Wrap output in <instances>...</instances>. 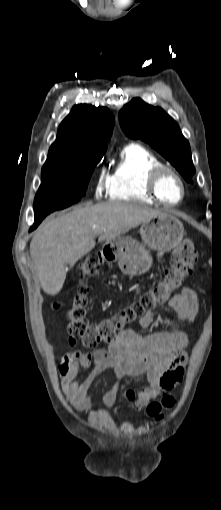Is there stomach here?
I'll return each mask as SVG.
<instances>
[{"label": "stomach", "mask_w": 221, "mask_h": 510, "mask_svg": "<svg viewBox=\"0 0 221 510\" xmlns=\"http://www.w3.org/2000/svg\"><path fill=\"white\" fill-rule=\"evenodd\" d=\"M140 235L143 244L131 237L119 236L108 239L103 246L106 258L118 261L125 275L136 276L147 272L152 265L150 250L168 252L174 249L183 239L184 227L172 214L160 213L142 223Z\"/></svg>", "instance_id": "obj_1"}]
</instances>
